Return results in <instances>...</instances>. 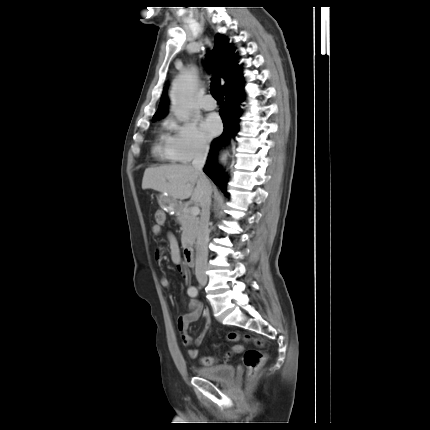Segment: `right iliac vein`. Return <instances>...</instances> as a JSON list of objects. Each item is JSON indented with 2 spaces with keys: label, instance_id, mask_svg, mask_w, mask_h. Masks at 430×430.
<instances>
[{
  "label": "right iliac vein",
  "instance_id": "obj_1",
  "mask_svg": "<svg viewBox=\"0 0 430 430\" xmlns=\"http://www.w3.org/2000/svg\"><path fill=\"white\" fill-rule=\"evenodd\" d=\"M198 281L201 285H205L207 283V278H199Z\"/></svg>",
  "mask_w": 430,
  "mask_h": 430
}]
</instances>
